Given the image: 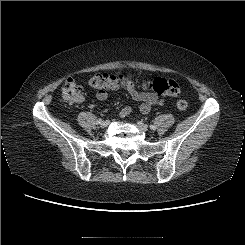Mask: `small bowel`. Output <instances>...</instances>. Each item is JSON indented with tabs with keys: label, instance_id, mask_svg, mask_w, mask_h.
<instances>
[{
	"label": "small bowel",
	"instance_id": "small-bowel-1",
	"mask_svg": "<svg viewBox=\"0 0 245 245\" xmlns=\"http://www.w3.org/2000/svg\"><path fill=\"white\" fill-rule=\"evenodd\" d=\"M129 93L133 100L139 102V110L142 114L147 115L153 105L163 106L165 100L159 97L156 93L139 90L134 84L123 87ZM96 97L98 100H106L108 98V91H97ZM133 110L131 105L125 106L121 110V117H126Z\"/></svg>",
	"mask_w": 245,
	"mask_h": 245
}]
</instances>
